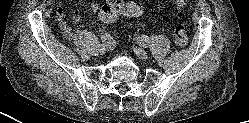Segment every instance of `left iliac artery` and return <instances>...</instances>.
<instances>
[{"label": "left iliac artery", "mask_w": 249, "mask_h": 123, "mask_svg": "<svg viewBox=\"0 0 249 123\" xmlns=\"http://www.w3.org/2000/svg\"><path fill=\"white\" fill-rule=\"evenodd\" d=\"M137 41L139 44H141L145 48H147L150 43L149 37L145 35L137 37Z\"/></svg>", "instance_id": "44dca946"}]
</instances>
